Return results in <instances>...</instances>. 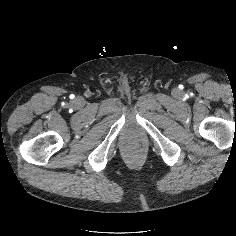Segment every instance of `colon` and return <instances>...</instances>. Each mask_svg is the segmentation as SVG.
<instances>
[{
  "label": "colon",
  "mask_w": 236,
  "mask_h": 236,
  "mask_svg": "<svg viewBox=\"0 0 236 236\" xmlns=\"http://www.w3.org/2000/svg\"><path fill=\"white\" fill-rule=\"evenodd\" d=\"M132 151H133L134 153H136V152H137V149L134 148V149H132Z\"/></svg>",
  "instance_id": "colon-1"
}]
</instances>
